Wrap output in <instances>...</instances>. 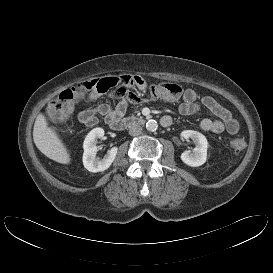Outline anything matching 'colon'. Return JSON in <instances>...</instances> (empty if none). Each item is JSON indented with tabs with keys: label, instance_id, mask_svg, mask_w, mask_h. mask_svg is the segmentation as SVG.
<instances>
[{
	"label": "colon",
	"instance_id": "colon-1",
	"mask_svg": "<svg viewBox=\"0 0 273 273\" xmlns=\"http://www.w3.org/2000/svg\"><path fill=\"white\" fill-rule=\"evenodd\" d=\"M137 76L122 75L117 77H106L84 81L61 92L49 104L47 116L54 125L66 123L73 108L91 97L112 91L113 96H127L135 100L134 93L128 92L137 84ZM182 94V87L176 83L166 82L151 85L150 95L155 99L176 100ZM230 147L235 152H240L246 147L243 136H236L230 141Z\"/></svg>",
	"mask_w": 273,
	"mask_h": 273
}]
</instances>
